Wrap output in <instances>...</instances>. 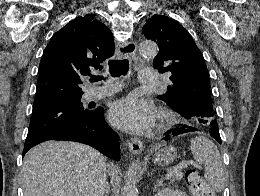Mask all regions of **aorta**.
<instances>
[{"instance_id":"762f6f07","label":"aorta","mask_w":260,"mask_h":196,"mask_svg":"<svg viewBox=\"0 0 260 196\" xmlns=\"http://www.w3.org/2000/svg\"><path fill=\"white\" fill-rule=\"evenodd\" d=\"M139 52L143 57H155L158 53V46L152 41H145L140 44ZM138 180V165L133 162L127 172L123 186V196H139L138 188L136 186Z\"/></svg>"}]
</instances>
